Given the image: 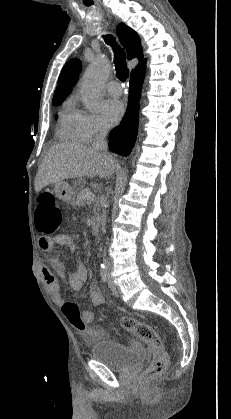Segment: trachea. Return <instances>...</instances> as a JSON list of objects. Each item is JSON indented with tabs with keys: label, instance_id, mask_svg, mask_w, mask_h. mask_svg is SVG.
Masks as SVG:
<instances>
[{
	"label": "trachea",
	"instance_id": "1",
	"mask_svg": "<svg viewBox=\"0 0 231 419\" xmlns=\"http://www.w3.org/2000/svg\"><path fill=\"white\" fill-rule=\"evenodd\" d=\"M104 40L108 45H111L114 51V64L116 69V75L121 81H126L129 76V70L125 62V52L116 43L115 38L112 35L104 36Z\"/></svg>",
	"mask_w": 231,
	"mask_h": 419
}]
</instances>
